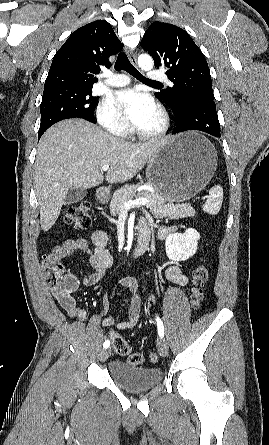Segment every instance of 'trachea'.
I'll return each mask as SVG.
<instances>
[{
  "mask_svg": "<svg viewBox=\"0 0 269 445\" xmlns=\"http://www.w3.org/2000/svg\"><path fill=\"white\" fill-rule=\"evenodd\" d=\"M115 70L116 71H120V70H125L126 72H128L130 75H132L133 77H135L136 79L143 81V82H147V83H155V84H161L159 82L156 81H151L147 78H145L129 61L127 55L123 52L118 54L117 60L115 62Z\"/></svg>",
  "mask_w": 269,
  "mask_h": 445,
  "instance_id": "1",
  "label": "trachea"
}]
</instances>
